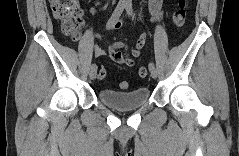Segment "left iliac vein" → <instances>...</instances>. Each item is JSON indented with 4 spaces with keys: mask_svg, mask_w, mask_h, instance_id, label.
Listing matches in <instances>:
<instances>
[{
    "mask_svg": "<svg viewBox=\"0 0 239 156\" xmlns=\"http://www.w3.org/2000/svg\"><path fill=\"white\" fill-rule=\"evenodd\" d=\"M149 71H150L151 77L155 79L158 75L156 68L155 67L149 68Z\"/></svg>",
    "mask_w": 239,
    "mask_h": 156,
    "instance_id": "obj_1",
    "label": "left iliac vein"
}]
</instances>
